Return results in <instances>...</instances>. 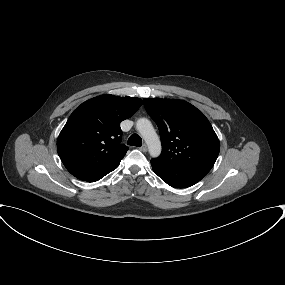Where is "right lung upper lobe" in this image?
Here are the masks:
<instances>
[{
	"mask_svg": "<svg viewBox=\"0 0 285 285\" xmlns=\"http://www.w3.org/2000/svg\"><path fill=\"white\" fill-rule=\"evenodd\" d=\"M142 103L136 97L101 95L77 107L57 140V152L67 170L92 182L116 169L128 150L121 144L120 122Z\"/></svg>",
	"mask_w": 285,
	"mask_h": 285,
	"instance_id": "cb5924a9",
	"label": "right lung upper lobe"
}]
</instances>
